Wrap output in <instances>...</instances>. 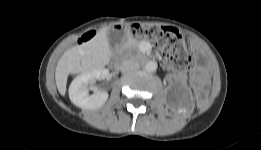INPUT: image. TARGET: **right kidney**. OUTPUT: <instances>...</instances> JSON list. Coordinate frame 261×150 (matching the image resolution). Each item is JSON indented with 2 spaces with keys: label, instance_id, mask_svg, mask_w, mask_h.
Instances as JSON below:
<instances>
[{
  "label": "right kidney",
  "instance_id": "1",
  "mask_svg": "<svg viewBox=\"0 0 261 150\" xmlns=\"http://www.w3.org/2000/svg\"><path fill=\"white\" fill-rule=\"evenodd\" d=\"M107 69L99 68L84 72L77 76L69 87V98L71 102L82 109H96L101 107L108 99L105 91H95L89 94V84L93 80L104 79L108 76Z\"/></svg>",
  "mask_w": 261,
  "mask_h": 150
}]
</instances>
